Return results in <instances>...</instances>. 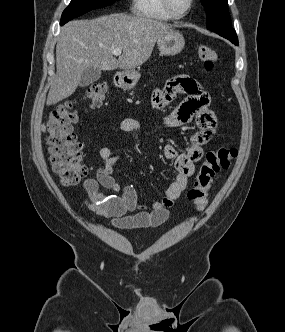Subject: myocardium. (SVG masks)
Listing matches in <instances>:
<instances>
[{
    "instance_id": "myocardium-1",
    "label": "myocardium",
    "mask_w": 285,
    "mask_h": 332,
    "mask_svg": "<svg viewBox=\"0 0 285 332\" xmlns=\"http://www.w3.org/2000/svg\"><path fill=\"white\" fill-rule=\"evenodd\" d=\"M166 10L175 18L181 19L187 16L192 10L195 0H188V6L184 11H178L173 4L172 0H163Z\"/></svg>"
}]
</instances>
